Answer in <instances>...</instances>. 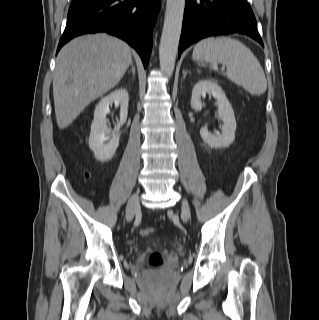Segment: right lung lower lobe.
I'll return each instance as SVG.
<instances>
[{
  "label": "right lung lower lobe",
  "instance_id": "98d812e1",
  "mask_svg": "<svg viewBox=\"0 0 319 320\" xmlns=\"http://www.w3.org/2000/svg\"><path fill=\"white\" fill-rule=\"evenodd\" d=\"M161 0H73L57 52L72 38L106 32L136 49L144 66L152 49V31Z\"/></svg>",
  "mask_w": 319,
  "mask_h": 320
}]
</instances>
